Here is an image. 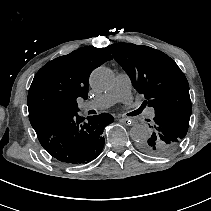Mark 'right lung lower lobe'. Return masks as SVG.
Returning <instances> with one entry per match:
<instances>
[{
    "instance_id": "obj_1",
    "label": "right lung lower lobe",
    "mask_w": 211,
    "mask_h": 211,
    "mask_svg": "<svg viewBox=\"0 0 211 211\" xmlns=\"http://www.w3.org/2000/svg\"><path fill=\"white\" fill-rule=\"evenodd\" d=\"M77 112L33 127L42 147L53 158L69 165L86 164L97 158L104 147V127L114 121L107 113L84 121Z\"/></svg>"
}]
</instances>
